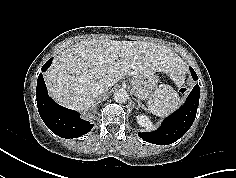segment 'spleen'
<instances>
[{
	"mask_svg": "<svg viewBox=\"0 0 236 178\" xmlns=\"http://www.w3.org/2000/svg\"><path fill=\"white\" fill-rule=\"evenodd\" d=\"M179 104L178 93L167 84H160L147 102L149 111L159 117L169 115L178 108Z\"/></svg>",
	"mask_w": 236,
	"mask_h": 178,
	"instance_id": "obj_1",
	"label": "spleen"
}]
</instances>
